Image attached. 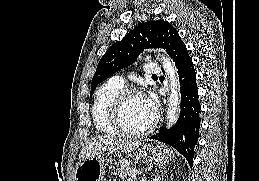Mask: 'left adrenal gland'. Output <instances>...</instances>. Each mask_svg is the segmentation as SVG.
Listing matches in <instances>:
<instances>
[{"label":"left adrenal gland","instance_id":"1","mask_svg":"<svg viewBox=\"0 0 259 181\" xmlns=\"http://www.w3.org/2000/svg\"><path fill=\"white\" fill-rule=\"evenodd\" d=\"M165 173H166V171L160 170V172H158V175L154 176L152 178V181H159V180H161Z\"/></svg>","mask_w":259,"mask_h":181}]
</instances>
